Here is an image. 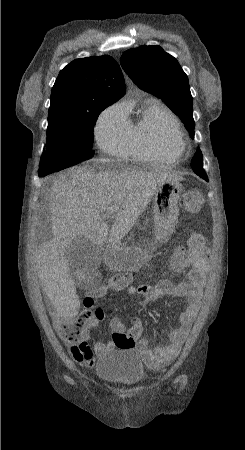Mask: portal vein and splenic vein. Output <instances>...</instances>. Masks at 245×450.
<instances>
[{
    "instance_id": "portal-vein-and-splenic-vein-1",
    "label": "portal vein and splenic vein",
    "mask_w": 245,
    "mask_h": 450,
    "mask_svg": "<svg viewBox=\"0 0 245 450\" xmlns=\"http://www.w3.org/2000/svg\"><path fill=\"white\" fill-rule=\"evenodd\" d=\"M114 210H115L114 207H109V208L107 209L108 216H110L111 214H113Z\"/></svg>"
}]
</instances>
